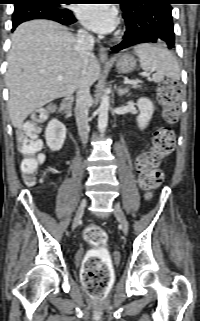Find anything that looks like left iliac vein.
<instances>
[{
  "mask_svg": "<svg viewBox=\"0 0 200 321\" xmlns=\"http://www.w3.org/2000/svg\"><path fill=\"white\" fill-rule=\"evenodd\" d=\"M114 215L117 218V220L119 221L123 232H127L129 225H128V221L127 218L123 212V210L121 209V207L118 204H114Z\"/></svg>",
  "mask_w": 200,
  "mask_h": 321,
  "instance_id": "left-iliac-vein-1",
  "label": "left iliac vein"
}]
</instances>
